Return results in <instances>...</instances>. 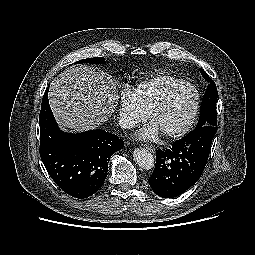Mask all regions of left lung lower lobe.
I'll use <instances>...</instances> for the list:
<instances>
[{
    "label": "left lung lower lobe",
    "mask_w": 255,
    "mask_h": 255,
    "mask_svg": "<svg viewBox=\"0 0 255 255\" xmlns=\"http://www.w3.org/2000/svg\"><path fill=\"white\" fill-rule=\"evenodd\" d=\"M216 131V126L195 128L174 142L170 149L157 151L155 169L149 184L158 196L177 197L200 178Z\"/></svg>",
    "instance_id": "left-lung-lower-lobe-1"
}]
</instances>
